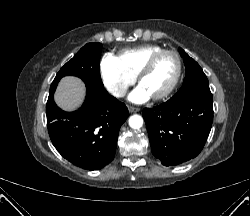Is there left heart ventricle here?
I'll use <instances>...</instances> for the list:
<instances>
[{
	"instance_id": "obj_1",
	"label": "left heart ventricle",
	"mask_w": 250,
	"mask_h": 216,
	"mask_svg": "<svg viewBox=\"0 0 250 216\" xmlns=\"http://www.w3.org/2000/svg\"><path fill=\"white\" fill-rule=\"evenodd\" d=\"M177 70L176 59L171 54L161 56L148 75L141 81L151 97L165 91L171 84Z\"/></svg>"
}]
</instances>
